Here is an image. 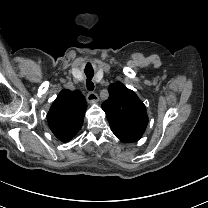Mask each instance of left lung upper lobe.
Returning <instances> with one entry per match:
<instances>
[{
    "mask_svg": "<svg viewBox=\"0 0 208 208\" xmlns=\"http://www.w3.org/2000/svg\"><path fill=\"white\" fill-rule=\"evenodd\" d=\"M109 98L101 105L112 130L143 134L148 116L136 93L121 82L108 88Z\"/></svg>",
    "mask_w": 208,
    "mask_h": 208,
    "instance_id": "1",
    "label": "left lung upper lobe"
}]
</instances>
